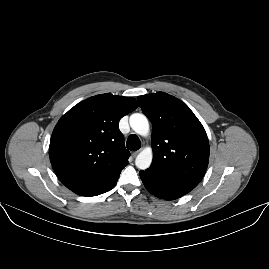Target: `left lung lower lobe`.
<instances>
[{
  "mask_svg": "<svg viewBox=\"0 0 269 269\" xmlns=\"http://www.w3.org/2000/svg\"><path fill=\"white\" fill-rule=\"evenodd\" d=\"M139 175L151 194L165 200L180 198L198 185L193 181L166 177L147 170L140 171Z\"/></svg>",
  "mask_w": 269,
  "mask_h": 269,
  "instance_id": "obj_1",
  "label": "left lung lower lobe"
}]
</instances>
